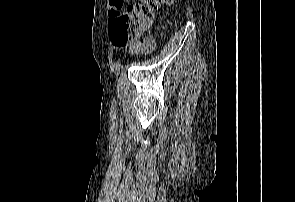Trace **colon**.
Wrapping results in <instances>:
<instances>
[{
  "mask_svg": "<svg viewBox=\"0 0 295 202\" xmlns=\"http://www.w3.org/2000/svg\"><path fill=\"white\" fill-rule=\"evenodd\" d=\"M172 2L173 0H140L137 4L129 6L113 20L112 42L117 46H134L140 52L150 50L151 44L143 37L152 23L154 12Z\"/></svg>",
  "mask_w": 295,
  "mask_h": 202,
  "instance_id": "1",
  "label": "colon"
}]
</instances>
